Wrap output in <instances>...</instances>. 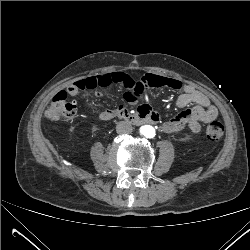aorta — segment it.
<instances>
[{"mask_svg":"<svg viewBox=\"0 0 250 250\" xmlns=\"http://www.w3.org/2000/svg\"><path fill=\"white\" fill-rule=\"evenodd\" d=\"M140 135L146 137V138H154L156 136V130L151 125H143L139 128Z\"/></svg>","mask_w":250,"mask_h":250,"instance_id":"aorta-1","label":"aorta"}]
</instances>
